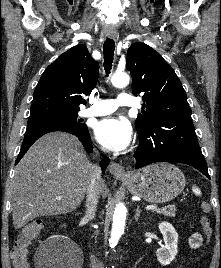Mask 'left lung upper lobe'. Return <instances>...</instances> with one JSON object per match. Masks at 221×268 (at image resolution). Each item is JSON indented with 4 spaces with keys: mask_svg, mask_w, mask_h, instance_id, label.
Instances as JSON below:
<instances>
[{
    "mask_svg": "<svg viewBox=\"0 0 221 268\" xmlns=\"http://www.w3.org/2000/svg\"><path fill=\"white\" fill-rule=\"evenodd\" d=\"M126 68L132 76V92L143 95L142 114L135 126L144 134L159 118L191 119L186 93L173 68L150 46L137 42L127 51Z\"/></svg>",
    "mask_w": 221,
    "mask_h": 268,
    "instance_id": "obj_1",
    "label": "left lung upper lobe"
}]
</instances>
